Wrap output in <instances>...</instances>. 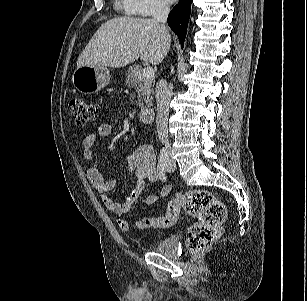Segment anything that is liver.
Masks as SVG:
<instances>
[{"mask_svg":"<svg viewBox=\"0 0 307 301\" xmlns=\"http://www.w3.org/2000/svg\"><path fill=\"white\" fill-rule=\"evenodd\" d=\"M171 38L163 33L155 19L117 17L108 20L96 31L79 55L81 66L120 68L139 57L154 65L166 56Z\"/></svg>","mask_w":307,"mask_h":301,"instance_id":"1","label":"liver"}]
</instances>
